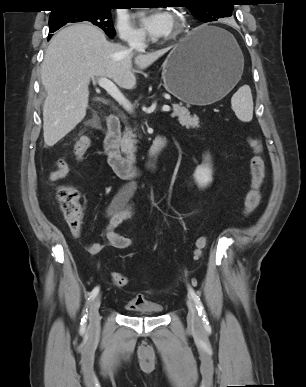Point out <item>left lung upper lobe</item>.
<instances>
[{
    "label": "left lung upper lobe",
    "mask_w": 306,
    "mask_h": 387,
    "mask_svg": "<svg viewBox=\"0 0 306 387\" xmlns=\"http://www.w3.org/2000/svg\"><path fill=\"white\" fill-rule=\"evenodd\" d=\"M233 0H184L192 14L203 22L232 16Z\"/></svg>",
    "instance_id": "5c2ea615"
}]
</instances>
